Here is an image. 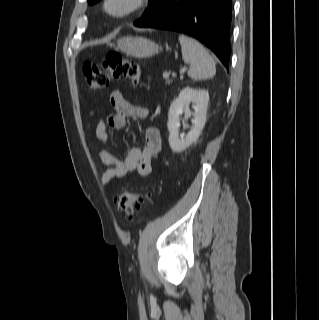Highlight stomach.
I'll list each match as a JSON object with an SVG mask.
<instances>
[{
    "mask_svg": "<svg viewBox=\"0 0 319 320\" xmlns=\"http://www.w3.org/2000/svg\"><path fill=\"white\" fill-rule=\"evenodd\" d=\"M116 44L122 52L135 58H148L161 50V47L154 41L139 36L120 37Z\"/></svg>",
    "mask_w": 319,
    "mask_h": 320,
    "instance_id": "0dacf381",
    "label": "stomach"
}]
</instances>
